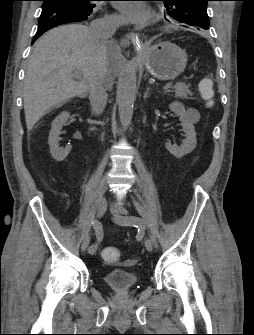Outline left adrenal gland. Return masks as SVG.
Returning a JSON list of instances; mask_svg holds the SVG:
<instances>
[{"label": "left adrenal gland", "instance_id": "left-adrenal-gland-1", "mask_svg": "<svg viewBox=\"0 0 254 335\" xmlns=\"http://www.w3.org/2000/svg\"><path fill=\"white\" fill-rule=\"evenodd\" d=\"M149 90H150V88L147 87V89H146V91H145V93H144V96H143L144 99H147V98L149 97V95H148Z\"/></svg>", "mask_w": 254, "mask_h": 335}]
</instances>
